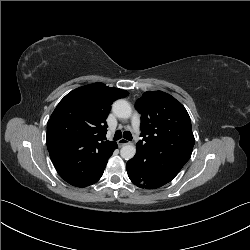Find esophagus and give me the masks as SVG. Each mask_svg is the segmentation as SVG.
<instances>
[{"label":"esophagus","mask_w":250,"mask_h":250,"mask_svg":"<svg viewBox=\"0 0 250 250\" xmlns=\"http://www.w3.org/2000/svg\"><path fill=\"white\" fill-rule=\"evenodd\" d=\"M117 143H118V146L121 147V146L129 144L130 142L128 140L122 138V139L118 140Z\"/></svg>","instance_id":"1"}]
</instances>
